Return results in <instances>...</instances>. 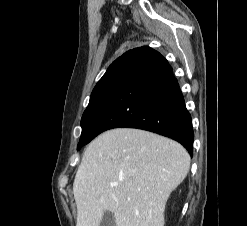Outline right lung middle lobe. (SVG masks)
I'll return each mask as SVG.
<instances>
[{"label": "right lung middle lobe", "instance_id": "obj_1", "mask_svg": "<svg viewBox=\"0 0 247 226\" xmlns=\"http://www.w3.org/2000/svg\"><path fill=\"white\" fill-rule=\"evenodd\" d=\"M123 67L124 63L110 67L93 89L81 120L82 134L78 143V150L92 136L93 128L118 82Z\"/></svg>", "mask_w": 247, "mask_h": 226}]
</instances>
